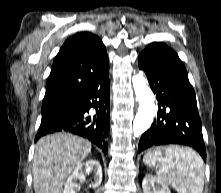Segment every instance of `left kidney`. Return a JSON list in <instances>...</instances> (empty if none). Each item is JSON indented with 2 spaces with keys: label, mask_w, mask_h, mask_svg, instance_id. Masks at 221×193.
<instances>
[{
  "label": "left kidney",
  "mask_w": 221,
  "mask_h": 193,
  "mask_svg": "<svg viewBox=\"0 0 221 193\" xmlns=\"http://www.w3.org/2000/svg\"><path fill=\"white\" fill-rule=\"evenodd\" d=\"M144 193H171L167 184L150 174H147L142 182Z\"/></svg>",
  "instance_id": "5707ae66"
}]
</instances>
